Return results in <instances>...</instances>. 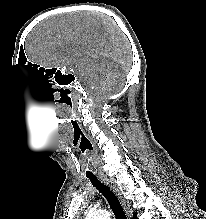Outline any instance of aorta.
I'll return each instance as SVG.
<instances>
[{
    "label": "aorta",
    "instance_id": "obj_1",
    "mask_svg": "<svg viewBox=\"0 0 206 219\" xmlns=\"http://www.w3.org/2000/svg\"><path fill=\"white\" fill-rule=\"evenodd\" d=\"M86 219H111V218L108 211L100 210V211L90 212L87 215Z\"/></svg>",
    "mask_w": 206,
    "mask_h": 219
}]
</instances>
